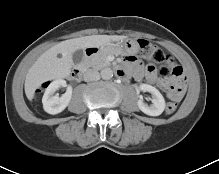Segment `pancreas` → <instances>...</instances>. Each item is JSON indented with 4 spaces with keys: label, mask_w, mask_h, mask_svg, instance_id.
Wrapping results in <instances>:
<instances>
[{
    "label": "pancreas",
    "mask_w": 219,
    "mask_h": 174,
    "mask_svg": "<svg viewBox=\"0 0 219 174\" xmlns=\"http://www.w3.org/2000/svg\"><path fill=\"white\" fill-rule=\"evenodd\" d=\"M113 53L115 52L114 51L99 52L96 55L92 56L91 58L87 59L84 62V65L88 68L91 67L93 69L100 70L103 67H106L110 64L107 61V56Z\"/></svg>",
    "instance_id": "cf45deb5"
}]
</instances>
